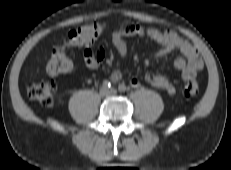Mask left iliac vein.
Returning <instances> with one entry per match:
<instances>
[{"instance_id": "1", "label": "left iliac vein", "mask_w": 231, "mask_h": 170, "mask_svg": "<svg viewBox=\"0 0 231 170\" xmlns=\"http://www.w3.org/2000/svg\"><path fill=\"white\" fill-rule=\"evenodd\" d=\"M109 94H110V95H115V94H116V90H114V89L110 90V91H109Z\"/></svg>"}]
</instances>
